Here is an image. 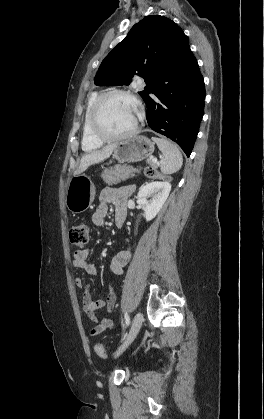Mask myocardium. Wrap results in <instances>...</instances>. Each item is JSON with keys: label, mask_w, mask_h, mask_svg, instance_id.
<instances>
[{"label": "myocardium", "mask_w": 264, "mask_h": 419, "mask_svg": "<svg viewBox=\"0 0 264 419\" xmlns=\"http://www.w3.org/2000/svg\"><path fill=\"white\" fill-rule=\"evenodd\" d=\"M125 96L129 99H131L137 107V120L135 125L127 132L121 133V134H110L107 133L100 124V111L101 108L104 104V102L112 97V96ZM141 115H142V111H141V104L139 102V100L136 98L135 95H133L131 92L127 91V90H123V89H112V90H108L106 92L101 93L96 100L94 101L91 111H90V116H89V128H90V132L91 134L98 140L102 141V142H112V141H120V140H124V139H128L130 137H132L139 128V123H140V119H141Z\"/></svg>", "instance_id": "myocardium-1"}]
</instances>
